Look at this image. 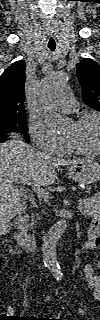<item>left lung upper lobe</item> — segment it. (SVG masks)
<instances>
[{
    "mask_svg": "<svg viewBox=\"0 0 100 320\" xmlns=\"http://www.w3.org/2000/svg\"><path fill=\"white\" fill-rule=\"evenodd\" d=\"M76 70L83 89V101L100 111V65L92 59L84 58L77 65Z\"/></svg>",
    "mask_w": 100,
    "mask_h": 320,
    "instance_id": "obj_1",
    "label": "left lung upper lobe"
}]
</instances>
